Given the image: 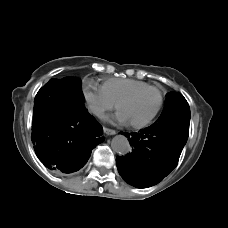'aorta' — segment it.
Returning <instances> with one entry per match:
<instances>
[{
  "instance_id": "aorta-1",
  "label": "aorta",
  "mask_w": 228,
  "mask_h": 228,
  "mask_svg": "<svg viewBox=\"0 0 228 228\" xmlns=\"http://www.w3.org/2000/svg\"><path fill=\"white\" fill-rule=\"evenodd\" d=\"M112 150L120 155L127 154L130 149V143L124 135H116L111 142Z\"/></svg>"
}]
</instances>
